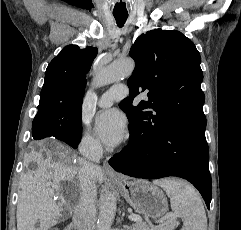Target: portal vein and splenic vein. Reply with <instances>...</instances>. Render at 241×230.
Returning <instances> with one entry per match:
<instances>
[{
	"instance_id": "18ae733b",
	"label": "portal vein and splenic vein",
	"mask_w": 241,
	"mask_h": 230,
	"mask_svg": "<svg viewBox=\"0 0 241 230\" xmlns=\"http://www.w3.org/2000/svg\"><path fill=\"white\" fill-rule=\"evenodd\" d=\"M174 217H175L174 214L169 213V214L165 215L164 217H162L161 219L157 220V223L163 224L167 220L173 219ZM129 219L132 220V221H136V222L142 221V218L139 217V216H136V215H130Z\"/></svg>"
}]
</instances>
